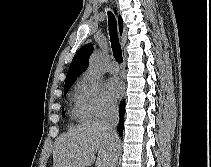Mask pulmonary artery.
Wrapping results in <instances>:
<instances>
[{"label":"pulmonary artery","mask_w":211,"mask_h":167,"mask_svg":"<svg viewBox=\"0 0 211 167\" xmlns=\"http://www.w3.org/2000/svg\"><path fill=\"white\" fill-rule=\"evenodd\" d=\"M108 71L113 75L118 74L119 73L118 64L116 62H112L108 67Z\"/></svg>","instance_id":"obj_1"}]
</instances>
